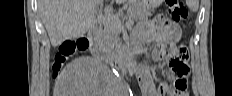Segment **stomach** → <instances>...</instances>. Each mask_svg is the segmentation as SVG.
<instances>
[{
  "label": "stomach",
  "instance_id": "obj_1",
  "mask_svg": "<svg viewBox=\"0 0 232 96\" xmlns=\"http://www.w3.org/2000/svg\"><path fill=\"white\" fill-rule=\"evenodd\" d=\"M142 2L146 7H155L159 2H162V0H143Z\"/></svg>",
  "mask_w": 232,
  "mask_h": 96
}]
</instances>
